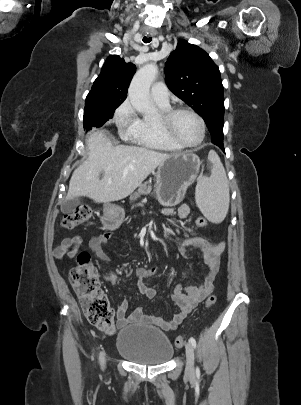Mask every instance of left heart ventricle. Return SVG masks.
<instances>
[{"mask_svg":"<svg viewBox=\"0 0 301 405\" xmlns=\"http://www.w3.org/2000/svg\"><path fill=\"white\" fill-rule=\"evenodd\" d=\"M175 134L185 143L197 142L201 135V128L197 119L190 113H180L173 123Z\"/></svg>","mask_w":301,"mask_h":405,"instance_id":"1","label":"left heart ventricle"}]
</instances>
